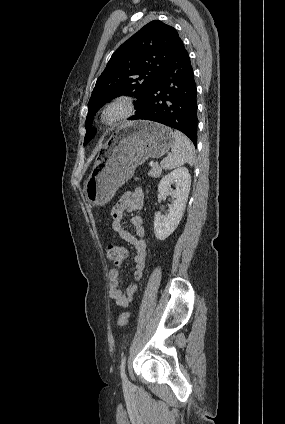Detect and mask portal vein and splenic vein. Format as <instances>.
<instances>
[{
    "label": "portal vein and splenic vein",
    "instance_id": "18ae733b",
    "mask_svg": "<svg viewBox=\"0 0 285 424\" xmlns=\"http://www.w3.org/2000/svg\"><path fill=\"white\" fill-rule=\"evenodd\" d=\"M153 165H155V164H154L153 162H151V163H150V166H153Z\"/></svg>",
    "mask_w": 285,
    "mask_h": 424
}]
</instances>
